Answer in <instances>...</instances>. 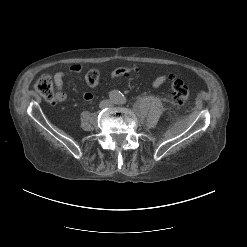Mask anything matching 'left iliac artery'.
<instances>
[{
	"instance_id": "obj_1",
	"label": "left iliac artery",
	"mask_w": 247,
	"mask_h": 247,
	"mask_svg": "<svg viewBox=\"0 0 247 247\" xmlns=\"http://www.w3.org/2000/svg\"><path fill=\"white\" fill-rule=\"evenodd\" d=\"M122 103H126V99L125 98L122 99Z\"/></svg>"
}]
</instances>
